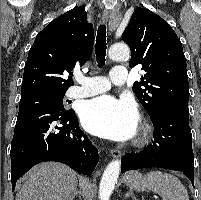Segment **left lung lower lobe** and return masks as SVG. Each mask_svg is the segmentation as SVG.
<instances>
[{
    "label": "left lung lower lobe",
    "mask_w": 201,
    "mask_h": 200,
    "mask_svg": "<svg viewBox=\"0 0 201 200\" xmlns=\"http://www.w3.org/2000/svg\"><path fill=\"white\" fill-rule=\"evenodd\" d=\"M154 141L139 153L121 159V172L148 167L181 171L194 186V154L186 104H166L151 116Z\"/></svg>",
    "instance_id": "left-lung-lower-lobe-1"
}]
</instances>
